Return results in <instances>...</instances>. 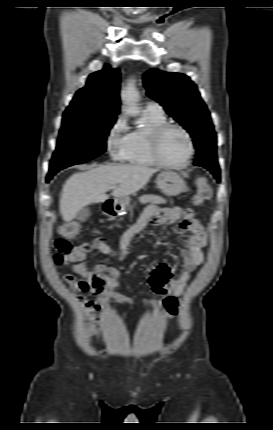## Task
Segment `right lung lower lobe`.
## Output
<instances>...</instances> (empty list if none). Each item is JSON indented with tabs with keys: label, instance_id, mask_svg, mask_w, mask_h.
I'll return each mask as SVG.
<instances>
[{
	"label": "right lung lower lobe",
	"instance_id": "1",
	"mask_svg": "<svg viewBox=\"0 0 273 430\" xmlns=\"http://www.w3.org/2000/svg\"><path fill=\"white\" fill-rule=\"evenodd\" d=\"M53 175H54V174H53ZM53 175H52V174H48V176H47V178H46V182H49Z\"/></svg>",
	"mask_w": 273,
	"mask_h": 430
}]
</instances>
